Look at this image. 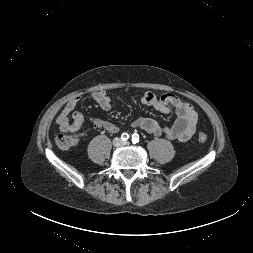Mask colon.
I'll list each match as a JSON object with an SVG mask.
<instances>
[{
    "mask_svg": "<svg viewBox=\"0 0 253 253\" xmlns=\"http://www.w3.org/2000/svg\"><path fill=\"white\" fill-rule=\"evenodd\" d=\"M199 142H205L207 140V134L204 131H200L197 135ZM56 144L62 149H68L72 146V136L70 134L61 133L56 136Z\"/></svg>",
    "mask_w": 253,
    "mask_h": 253,
    "instance_id": "5ec220e1",
    "label": "colon"
}]
</instances>
